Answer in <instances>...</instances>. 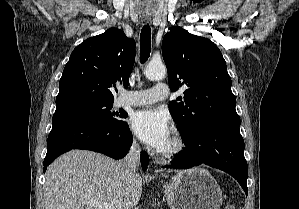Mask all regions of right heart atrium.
Listing matches in <instances>:
<instances>
[{
	"mask_svg": "<svg viewBox=\"0 0 299 209\" xmlns=\"http://www.w3.org/2000/svg\"><path fill=\"white\" fill-rule=\"evenodd\" d=\"M132 146H133V147H137V146H138V143H137L136 140H133V141H132Z\"/></svg>",
	"mask_w": 299,
	"mask_h": 209,
	"instance_id": "right-heart-atrium-1",
	"label": "right heart atrium"
}]
</instances>
